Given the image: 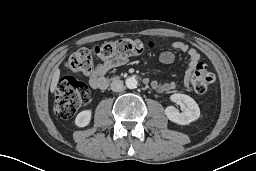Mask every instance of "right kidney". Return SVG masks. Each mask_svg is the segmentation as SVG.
Listing matches in <instances>:
<instances>
[{
	"label": "right kidney",
	"mask_w": 256,
	"mask_h": 171,
	"mask_svg": "<svg viewBox=\"0 0 256 171\" xmlns=\"http://www.w3.org/2000/svg\"><path fill=\"white\" fill-rule=\"evenodd\" d=\"M91 117H92L91 110H83L76 116L75 124L78 127H85L90 123Z\"/></svg>",
	"instance_id": "1"
}]
</instances>
